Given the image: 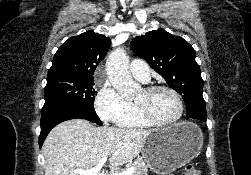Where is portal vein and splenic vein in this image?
Wrapping results in <instances>:
<instances>
[{
	"label": "portal vein and splenic vein",
	"instance_id": "1",
	"mask_svg": "<svg viewBox=\"0 0 251 175\" xmlns=\"http://www.w3.org/2000/svg\"><path fill=\"white\" fill-rule=\"evenodd\" d=\"M107 157H101L99 163L91 169H73V173H81V175H132L135 169L134 167H128L126 171H112V173H101L100 169L104 163H106Z\"/></svg>",
	"mask_w": 251,
	"mask_h": 175
}]
</instances>
